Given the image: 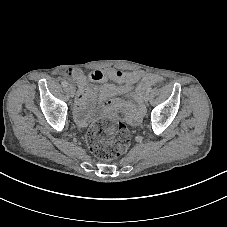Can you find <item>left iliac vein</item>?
Masks as SVG:
<instances>
[{
  "instance_id": "obj_1",
  "label": "left iliac vein",
  "mask_w": 227,
  "mask_h": 227,
  "mask_svg": "<svg viewBox=\"0 0 227 227\" xmlns=\"http://www.w3.org/2000/svg\"><path fill=\"white\" fill-rule=\"evenodd\" d=\"M149 98H150V96H149L148 93H146V94L144 95V97H143V99H144L145 102H148V101H149Z\"/></svg>"
}]
</instances>
